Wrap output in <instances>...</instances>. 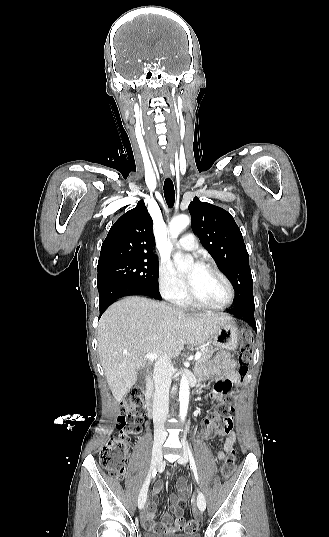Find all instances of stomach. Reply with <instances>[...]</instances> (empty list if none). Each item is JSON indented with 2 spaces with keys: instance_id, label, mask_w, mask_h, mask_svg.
Wrapping results in <instances>:
<instances>
[{
  "instance_id": "obj_1",
  "label": "stomach",
  "mask_w": 329,
  "mask_h": 537,
  "mask_svg": "<svg viewBox=\"0 0 329 537\" xmlns=\"http://www.w3.org/2000/svg\"><path fill=\"white\" fill-rule=\"evenodd\" d=\"M212 342L214 345L234 350L237 347L239 340V330L235 323L231 320L222 325L213 335Z\"/></svg>"
}]
</instances>
